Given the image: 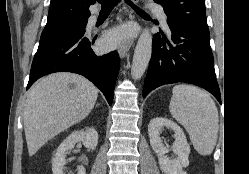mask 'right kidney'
Here are the masks:
<instances>
[{"mask_svg":"<svg viewBox=\"0 0 249 174\" xmlns=\"http://www.w3.org/2000/svg\"><path fill=\"white\" fill-rule=\"evenodd\" d=\"M80 141L86 148L94 150L98 143L97 131L94 128H86L85 131L80 130L71 133L57 148L55 156L52 159L53 174H65V154L67 151L73 149L75 144ZM77 174H86L85 168L83 166L78 167Z\"/></svg>","mask_w":249,"mask_h":174,"instance_id":"1","label":"right kidney"}]
</instances>
